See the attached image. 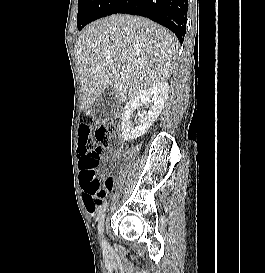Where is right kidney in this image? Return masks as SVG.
<instances>
[{
	"instance_id": "1",
	"label": "right kidney",
	"mask_w": 265,
	"mask_h": 273,
	"mask_svg": "<svg viewBox=\"0 0 265 273\" xmlns=\"http://www.w3.org/2000/svg\"><path fill=\"white\" fill-rule=\"evenodd\" d=\"M169 84L166 81H159L149 88L140 91L125 106L122 112V137L125 141H130L144 135L152 126L164 107L168 98ZM150 97L152 100L150 101ZM147 105L148 112L142 111L140 123L137 127H132L130 118L133 111L138 107Z\"/></svg>"
}]
</instances>
